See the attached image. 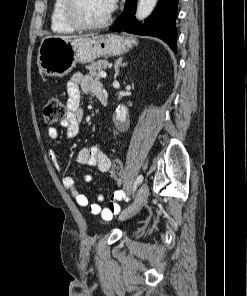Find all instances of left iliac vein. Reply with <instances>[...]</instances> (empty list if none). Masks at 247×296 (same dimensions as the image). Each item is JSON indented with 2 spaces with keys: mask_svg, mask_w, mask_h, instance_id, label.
Instances as JSON below:
<instances>
[{
  "mask_svg": "<svg viewBox=\"0 0 247 296\" xmlns=\"http://www.w3.org/2000/svg\"><path fill=\"white\" fill-rule=\"evenodd\" d=\"M148 195H149L148 185L143 184L137 192L134 203L119 215V220L124 221L136 215L145 204L148 198Z\"/></svg>",
  "mask_w": 247,
  "mask_h": 296,
  "instance_id": "4c4485c4",
  "label": "left iliac vein"
}]
</instances>
